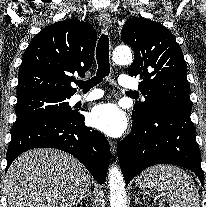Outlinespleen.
Here are the masks:
<instances>
[{"instance_id":"3e777b00","label":"spleen","mask_w":206,"mask_h":207,"mask_svg":"<svg viewBox=\"0 0 206 207\" xmlns=\"http://www.w3.org/2000/svg\"><path fill=\"white\" fill-rule=\"evenodd\" d=\"M148 188L158 192L169 207H200V196L189 175L177 166L158 165L139 176Z\"/></svg>"}]
</instances>
